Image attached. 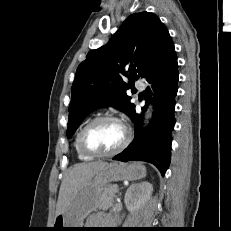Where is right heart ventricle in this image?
<instances>
[{
    "instance_id": "e07e8e85",
    "label": "right heart ventricle",
    "mask_w": 231,
    "mask_h": 231,
    "mask_svg": "<svg viewBox=\"0 0 231 231\" xmlns=\"http://www.w3.org/2000/svg\"><path fill=\"white\" fill-rule=\"evenodd\" d=\"M89 121H86L83 125L80 126V128L78 129V131L76 132L75 134V138H74V142H73V145H74V149H75V152L77 154V157L82 160V161H89L92 159V157L84 154L80 147H79V136H80V133L83 129V127L88 123Z\"/></svg>"
}]
</instances>
